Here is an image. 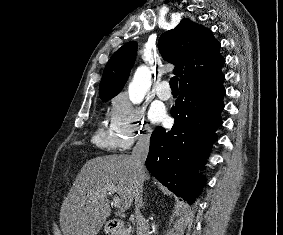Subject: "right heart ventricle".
<instances>
[{
	"label": "right heart ventricle",
	"instance_id": "e07e8e85",
	"mask_svg": "<svg viewBox=\"0 0 283 235\" xmlns=\"http://www.w3.org/2000/svg\"><path fill=\"white\" fill-rule=\"evenodd\" d=\"M95 142L98 146L105 148H114V137L110 130L101 127L97 130L95 135Z\"/></svg>",
	"mask_w": 283,
	"mask_h": 235
}]
</instances>
